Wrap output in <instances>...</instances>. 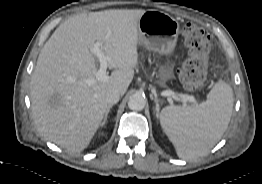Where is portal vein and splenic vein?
I'll list each match as a JSON object with an SVG mask.
<instances>
[{"instance_id": "18ae733b", "label": "portal vein and splenic vein", "mask_w": 262, "mask_h": 184, "mask_svg": "<svg viewBox=\"0 0 262 184\" xmlns=\"http://www.w3.org/2000/svg\"><path fill=\"white\" fill-rule=\"evenodd\" d=\"M101 46H102V42L98 41L91 48V52L99 60L100 67H99V69L96 73L95 80H88L87 81L88 84H92L95 81H105L106 78H107L106 70H107L108 61L110 60V58L104 54V52L101 49ZM162 95L167 96L168 99H173L175 101H182L183 100V101H189V102H192V103H197L194 96L185 95V94H176L175 92H173L171 90L165 91Z\"/></svg>"}]
</instances>
